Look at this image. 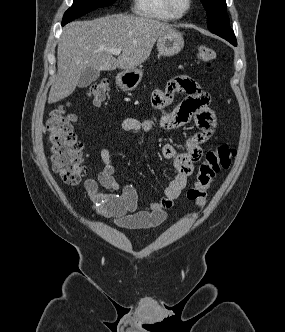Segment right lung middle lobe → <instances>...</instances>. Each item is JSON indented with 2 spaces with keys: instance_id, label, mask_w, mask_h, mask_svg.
<instances>
[{
  "instance_id": "obj_1",
  "label": "right lung middle lobe",
  "mask_w": 285,
  "mask_h": 332,
  "mask_svg": "<svg viewBox=\"0 0 285 332\" xmlns=\"http://www.w3.org/2000/svg\"><path fill=\"white\" fill-rule=\"evenodd\" d=\"M114 1L115 0H74L72 7L69 8L63 16L62 25L97 8L110 6Z\"/></svg>"
}]
</instances>
